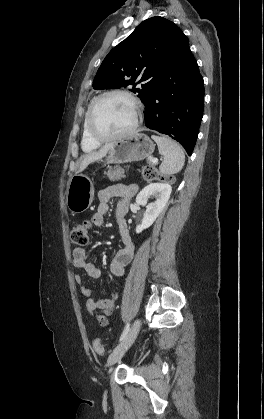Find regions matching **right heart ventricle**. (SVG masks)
I'll list each match as a JSON object with an SVG mask.
<instances>
[{
	"instance_id": "right-heart-ventricle-1",
	"label": "right heart ventricle",
	"mask_w": 264,
	"mask_h": 419,
	"mask_svg": "<svg viewBox=\"0 0 264 419\" xmlns=\"http://www.w3.org/2000/svg\"><path fill=\"white\" fill-rule=\"evenodd\" d=\"M93 100L90 101L88 108L86 110V113L84 115V120H83V130H82V137H81V147L82 150L84 152H91L95 149H97L100 145L99 142L94 141L88 134L87 131V125H86V119H87V114H88V110L90 108V105L92 103Z\"/></svg>"
}]
</instances>
